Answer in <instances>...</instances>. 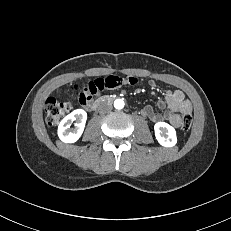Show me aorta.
Returning <instances> with one entry per match:
<instances>
[{
    "mask_svg": "<svg viewBox=\"0 0 231 231\" xmlns=\"http://www.w3.org/2000/svg\"><path fill=\"white\" fill-rule=\"evenodd\" d=\"M114 107L118 110L123 109L124 108V101L122 99H116L114 101Z\"/></svg>",
    "mask_w": 231,
    "mask_h": 231,
    "instance_id": "obj_1",
    "label": "aorta"
}]
</instances>
